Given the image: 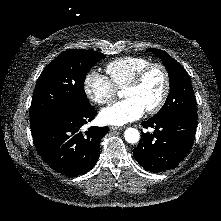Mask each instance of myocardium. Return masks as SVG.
<instances>
[{
	"label": "myocardium",
	"instance_id": "obj_1",
	"mask_svg": "<svg viewBox=\"0 0 221 221\" xmlns=\"http://www.w3.org/2000/svg\"><path fill=\"white\" fill-rule=\"evenodd\" d=\"M153 69H159L162 72L164 78V87L158 102L154 106L145 110L147 114H155L160 111L169 96L171 80L168 69L165 67V65L159 62L149 63L148 65L140 69L124 87L126 89L139 86L146 75Z\"/></svg>",
	"mask_w": 221,
	"mask_h": 221
}]
</instances>
